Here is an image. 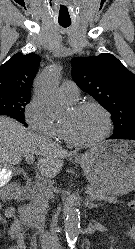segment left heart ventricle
<instances>
[{"mask_svg":"<svg viewBox=\"0 0 135 249\" xmlns=\"http://www.w3.org/2000/svg\"><path fill=\"white\" fill-rule=\"evenodd\" d=\"M63 124L81 141H90L101 136L106 128L105 118L96 108H86L80 112L71 109Z\"/></svg>","mask_w":135,"mask_h":249,"instance_id":"left-heart-ventricle-1","label":"left heart ventricle"}]
</instances>
